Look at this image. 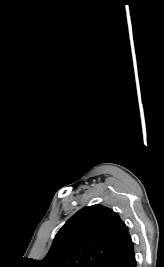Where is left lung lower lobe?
Listing matches in <instances>:
<instances>
[{
    "instance_id": "obj_1",
    "label": "left lung lower lobe",
    "mask_w": 164,
    "mask_h": 267,
    "mask_svg": "<svg viewBox=\"0 0 164 267\" xmlns=\"http://www.w3.org/2000/svg\"><path fill=\"white\" fill-rule=\"evenodd\" d=\"M101 267H136L133 242L128 231Z\"/></svg>"
}]
</instances>
